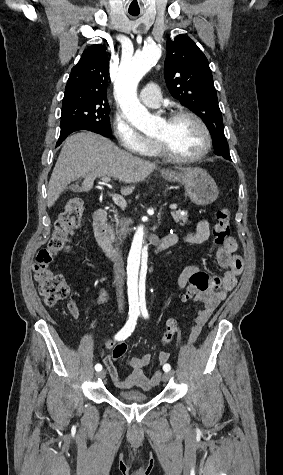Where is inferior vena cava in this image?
I'll list each match as a JSON object with an SVG mask.
<instances>
[{
    "instance_id": "inferior-vena-cava-1",
    "label": "inferior vena cava",
    "mask_w": 283,
    "mask_h": 475,
    "mask_svg": "<svg viewBox=\"0 0 283 475\" xmlns=\"http://www.w3.org/2000/svg\"><path fill=\"white\" fill-rule=\"evenodd\" d=\"M116 255L114 259V283L117 287V301H118V309H124V295H123V285H124V277H125V269H124V261L121 257V253L119 251V247H115Z\"/></svg>"
}]
</instances>
